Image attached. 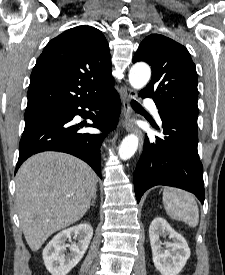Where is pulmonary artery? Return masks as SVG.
Here are the masks:
<instances>
[{
	"mask_svg": "<svg viewBox=\"0 0 225 275\" xmlns=\"http://www.w3.org/2000/svg\"><path fill=\"white\" fill-rule=\"evenodd\" d=\"M144 105L146 107H149L153 111L156 118L159 120L158 110H157L155 103L151 99L147 98L144 100Z\"/></svg>",
	"mask_w": 225,
	"mask_h": 275,
	"instance_id": "obj_1",
	"label": "pulmonary artery"
}]
</instances>
